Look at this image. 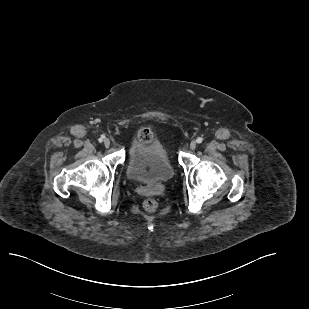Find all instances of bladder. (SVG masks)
Segmentation results:
<instances>
[{
  "label": "bladder",
  "mask_w": 309,
  "mask_h": 309,
  "mask_svg": "<svg viewBox=\"0 0 309 309\" xmlns=\"http://www.w3.org/2000/svg\"><path fill=\"white\" fill-rule=\"evenodd\" d=\"M174 167L166 149L158 139L137 140L128 152L127 177L137 183L168 182L174 177Z\"/></svg>",
  "instance_id": "31cf9c89"
}]
</instances>
